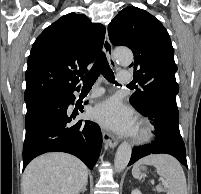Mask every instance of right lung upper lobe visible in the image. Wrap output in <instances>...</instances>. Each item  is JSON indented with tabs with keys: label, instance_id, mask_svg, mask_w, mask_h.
<instances>
[{
	"label": "right lung upper lobe",
	"instance_id": "right-lung-upper-lobe-1",
	"mask_svg": "<svg viewBox=\"0 0 201 194\" xmlns=\"http://www.w3.org/2000/svg\"><path fill=\"white\" fill-rule=\"evenodd\" d=\"M105 27L85 15L69 13L47 27L28 57L26 91L37 88L73 90L101 50ZM79 88V87H78Z\"/></svg>",
	"mask_w": 201,
	"mask_h": 194
}]
</instances>
